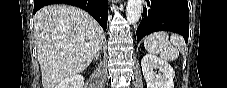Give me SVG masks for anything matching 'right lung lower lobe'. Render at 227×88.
Wrapping results in <instances>:
<instances>
[{
	"instance_id": "right-lung-lower-lobe-1",
	"label": "right lung lower lobe",
	"mask_w": 227,
	"mask_h": 88,
	"mask_svg": "<svg viewBox=\"0 0 227 88\" xmlns=\"http://www.w3.org/2000/svg\"><path fill=\"white\" fill-rule=\"evenodd\" d=\"M64 3L87 11L106 30L108 18V0H34V14L43 6Z\"/></svg>"
}]
</instances>
